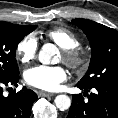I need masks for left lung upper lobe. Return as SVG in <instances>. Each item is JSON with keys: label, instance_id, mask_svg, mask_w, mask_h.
I'll list each match as a JSON object with an SVG mask.
<instances>
[{"label": "left lung upper lobe", "instance_id": "5c2ea615", "mask_svg": "<svg viewBox=\"0 0 118 118\" xmlns=\"http://www.w3.org/2000/svg\"><path fill=\"white\" fill-rule=\"evenodd\" d=\"M72 23L83 30L91 46L89 69L78 85L92 88L118 82V31L87 19Z\"/></svg>", "mask_w": 118, "mask_h": 118}]
</instances>
